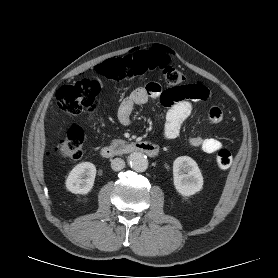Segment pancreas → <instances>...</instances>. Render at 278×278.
<instances>
[{"mask_svg": "<svg viewBox=\"0 0 278 278\" xmlns=\"http://www.w3.org/2000/svg\"><path fill=\"white\" fill-rule=\"evenodd\" d=\"M125 144H126V141L122 140V139H114L111 142V146L114 147V148H118L120 146H124Z\"/></svg>", "mask_w": 278, "mask_h": 278, "instance_id": "1", "label": "pancreas"}]
</instances>
